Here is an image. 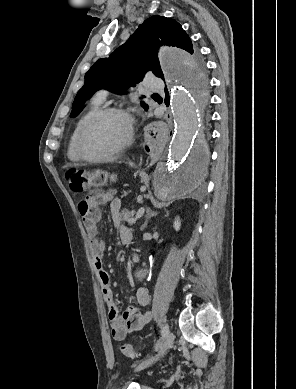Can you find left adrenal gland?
<instances>
[{"mask_svg":"<svg viewBox=\"0 0 296 389\" xmlns=\"http://www.w3.org/2000/svg\"><path fill=\"white\" fill-rule=\"evenodd\" d=\"M157 215H158V212H154L151 210V208H147L146 209V219H145L143 225L141 226V231H143L147 227L149 219H151L152 217L157 216Z\"/></svg>","mask_w":296,"mask_h":389,"instance_id":"1","label":"left adrenal gland"}]
</instances>
